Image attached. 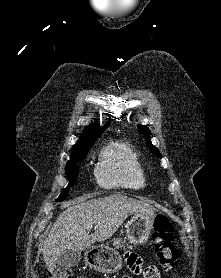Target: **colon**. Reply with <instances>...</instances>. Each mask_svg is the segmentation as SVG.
<instances>
[{
	"label": "colon",
	"mask_w": 221,
	"mask_h": 278,
	"mask_svg": "<svg viewBox=\"0 0 221 278\" xmlns=\"http://www.w3.org/2000/svg\"><path fill=\"white\" fill-rule=\"evenodd\" d=\"M173 226L170 220L162 214L156 216L152 233L153 250L164 269L174 267L179 259V250L172 243ZM149 278H158L159 270L154 266L147 267ZM49 278H73L70 268H56L51 271ZM88 278V277H78Z\"/></svg>",
	"instance_id": "5ec220e1"
}]
</instances>
